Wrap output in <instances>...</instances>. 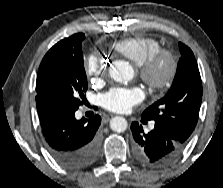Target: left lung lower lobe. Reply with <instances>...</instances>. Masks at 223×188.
<instances>
[{
    "label": "left lung lower lobe",
    "mask_w": 223,
    "mask_h": 188,
    "mask_svg": "<svg viewBox=\"0 0 223 188\" xmlns=\"http://www.w3.org/2000/svg\"><path fill=\"white\" fill-rule=\"evenodd\" d=\"M134 138L133 152L136 160L148 167H163L171 164L182 153L186 141L162 124L145 133L138 122L131 124Z\"/></svg>",
    "instance_id": "1"
}]
</instances>
